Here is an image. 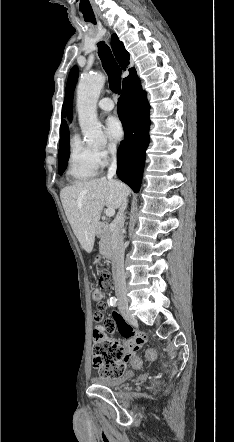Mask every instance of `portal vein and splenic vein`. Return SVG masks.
<instances>
[{"label": "portal vein and splenic vein", "mask_w": 234, "mask_h": 442, "mask_svg": "<svg viewBox=\"0 0 234 442\" xmlns=\"http://www.w3.org/2000/svg\"><path fill=\"white\" fill-rule=\"evenodd\" d=\"M105 214H106V216H108V217H112V216H114V214H115V209H113V208H107V209L105 210Z\"/></svg>", "instance_id": "1"}]
</instances>
